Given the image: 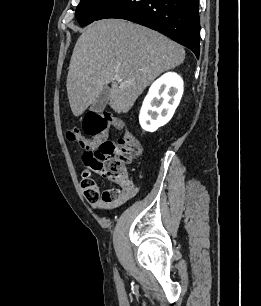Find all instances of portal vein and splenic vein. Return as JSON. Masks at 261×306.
<instances>
[{"label":"portal vein and splenic vein","mask_w":261,"mask_h":306,"mask_svg":"<svg viewBox=\"0 0 261 306\" xmlns=\"http://www.w3.org/2000/svg\"><path fill=\"white\" fill-rule=\"evenodd\" d=\"M114 79H115V80H117V81H119V82H121V81H122V79L120 78V76H119V75H115V76H114Z\"/></svg>","instance_id":"portal-vein-and-splenic-vein-1"}]
</instances>
